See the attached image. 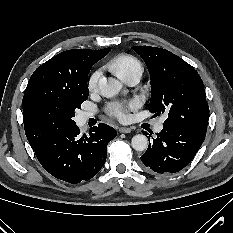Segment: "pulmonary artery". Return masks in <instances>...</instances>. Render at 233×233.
Listing matches in <instances>:
<instances>
[{"instance_id": "e3ab8cb5", "label": "pulmonary artery", "mask_w": 233, "mask_h": 233, "mask_svg": "<svg viewBox=\"0 0 233 233\" xmlns=\"http://www.w3.org/2000/svg\"><path fill=\"white\" fill-rule=\"evenodd\" d=\"M141 73H142L141 71H134V72H132V73L126 75L122 80H123L125 83L129 84V85H135L136 83H138V81H139V79H140V77H141ZM90 116H91L90 113L85 112V113L82 114V119H83V120H86V119H88ZM164 120H165V119L162 118V119H160V120L155 124V126H154V131H155V132H161V131H162Z\"/></svg>"}]
</instances>
